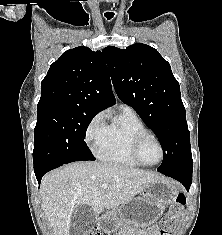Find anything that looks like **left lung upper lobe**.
Here are the masks:
<instances>
[{
    "mask_svg": "<svg viewBox=\"0 0 222 235\" xmlns=\"http://www.w3.org/2000/svg\"><path fill=\"white\" fill-rule=\"evenodd\" d=\"M102 54L118 97L131 106L158 137L163 161L157 171H192L190 132L178 81L159 52L142 43Z\"/></svg>",
    "mask_w": 222,
    "mask_h": 235,
    "instance_id": "left-lung-upper-lobe-1",
    "label": "left lung upper lobe"
}]
</instances>
